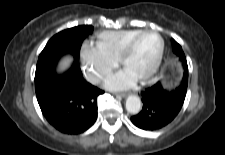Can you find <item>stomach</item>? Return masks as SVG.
Masks as SVG:
<instances>
[{
	"instance_id": "obj_1",
	"label": "stomach",
	"mask_w": 225,
	"mask_h": 155,
	"mask_svg": "<svg viewBox=\"0 0 225 155\" xmlns=\"http://www.w3.org/2000/svg\"><path fill=\"white\" fill-rule=\"evenodd\" d=\"M162 82L165 88L167 89H173L178 85L177 77L169 73L167 70H164L162 72Z\"/></svg>"
}]
</instances>
